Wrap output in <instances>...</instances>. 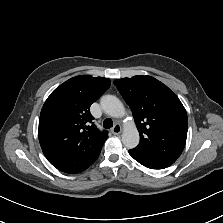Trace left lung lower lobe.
I'll list each match as a JSON object with an SVG mask.
<instances>
[{"label":"left lung lower lobe","mask_w":223,"mask_h":223,"mask_svg":"<svg viewBox=\"0 0 223 223\" xmlns=\"http://www.w3.org/2000/svg\"><path fill=\"white\" fill-rule=\"evenodd\" d=\"M129 154L136 161H138L140 164L144 165L145 167L151 168V169H163V168H166L172 164V163H168V162L155 161V160H151V159H148L145 157L137 156L134 153H132L130 150H129Z\"/></svg>","instance_id":"left-lung-lower-lobe-1"}]
</instances>
